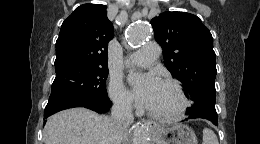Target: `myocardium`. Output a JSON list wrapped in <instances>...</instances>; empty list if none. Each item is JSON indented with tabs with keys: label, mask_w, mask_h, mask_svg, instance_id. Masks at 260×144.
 Segmentation results:
<instances>
[{
	"label": "myocardium",
	"mask_w": 260,
	"mask_h": 144,
	"mask_svg": "<svg viewBox=\"0 0 260 144\" xmlns=\"http://www.w3.org/2000/svg\"><path fill=\"white\" fill-rule=\"evenodd\" d=\"M160 82L171 86L175 90L180 100V107L174 113L169 114L159 113L151 109H148L149 115L155 119L164 122H174L182 119L185 116L189 107V100L182 85L177 80L171 78L162 79Z\"/></svg>",
	"instance_id": "1"
}]
</instances>
